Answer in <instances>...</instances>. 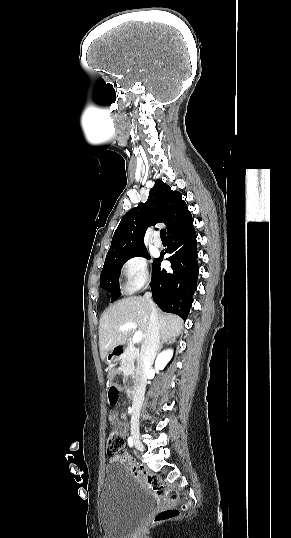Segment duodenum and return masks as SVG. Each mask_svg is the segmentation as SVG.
<instances>
[{
  "instance_id": "duodenum-1",
  "label": "duodenum",
  "mask_w": 291,
  "mask_h": 538,
  "mask_svg": "<svg viewBox=\"0 0 291 538\" xmlns=\"http://www.w3.org/2000/svg\"><path fill=\"white\" fill-rule=\"evenodd\" d=\"M125 351H126V348L124 346H119L113 350L112 355L114 357H120L125 353ZM133 351L136 352V350H133ZM124 381H125L124 386L126 388V391H125L126 396L131 397V398L136 397L138 394V391H137L138 382L133 377V374L131 372H127L125 374Z\"/></svg>"
}]
</instances>
